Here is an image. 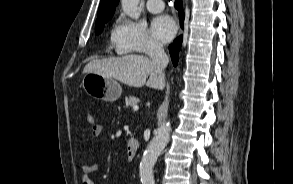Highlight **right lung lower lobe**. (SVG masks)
I'll list each match as a JSON object with an SVG mask.
<instances>
[{"instance_id":"1","label":"right lung lower lobe","mask_w":293,"mask_h":184,"mask_svg":"<svg viewBox=\"0 0 293 184\" xmlns=\"http://www.w3.org/2000/svg\"><path fill=\"white\" fill-rule=\"evenodd\" d=\"M175 6L178 10H180L179 12V16H180V20H181V25H183V20H184V13L182 11V2L181 0H176ZM181 43H182V38L179 37L177 38L173 44H171L169 46V51H170V55L172 58V62L174 64V66L177 65L178 63V58H179V53L178 51L180 50L181 47Z\"/></svg>"}]
</instances>
